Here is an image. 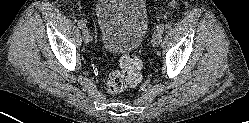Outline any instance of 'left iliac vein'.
Here are the masks:
<instances>
[{
  "label": "left iliac vein",
  "instance_id": "1",
  "mask_svg": "<svg viewBox=\"0 0 249 123\" xmlns=\"http://www.w3.org/2000/svg\"><path fill=\"white\" fill-rule=\"evenodd\" d=\"M161 38H162V33L160 31H155L153 36H152V45L154 47L158 46L159 43L161 42Z\"/></svg>",
  "mask_w": 249,
  "mask_h": 123
}]
</instances>
